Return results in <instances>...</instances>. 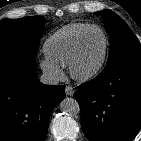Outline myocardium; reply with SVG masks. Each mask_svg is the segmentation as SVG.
Wrapping results in <instances>:
<instances>
[{"label":"myocardium","mask_w":141,"mask_h":141,"mask_svg":"<svg viewBox=\"0 0 141 141\" xmlns=\"http://www.w3.org/2000/svg\"><path fill=\"white\" fill-rule=\"evenodd\" d=\"M93 29L99 30L104 37L105 44H104L103 54H102L100 62L98 63V65L94 69H92L91 71L86 72V73H79L76 70V63H77L79 56H80V53H81L83 40H84L85 36L87 35V33ZM109 47H110L109 37H108L106 31L102 27H100L98 25H90L86 29H84L76 41L75 47L73 49L72 55H71L69 63H68L69 72H70V75L72 76V78H74L75 80L80 81V82H86V81H89V80L95 78L103 70V68L105 66V63H106V60L108 57Z\"/></svg>","instance_id":"obj_1"}]
</instances>
